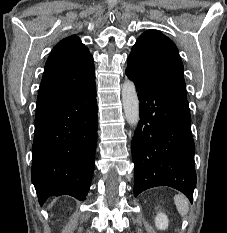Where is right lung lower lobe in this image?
Segmentation results:
<instances>
[{
	"mask_svg": "<svg viewBox=\"0 0 227 233\" xmlns=\"http://www.w3.org/2000/svg\"><path fill=\"white\" fill-rule=\"evenodd\" d=\"M96 84L36 114L31 177L42 205L51 196L84 200L95 165Z\"/></svg>",
	"mask_w": 227,
	"mask_h": 233,
	"instance_id": "98d812e1",
	"label": "right lung lower lobe"
}]
</instances>
